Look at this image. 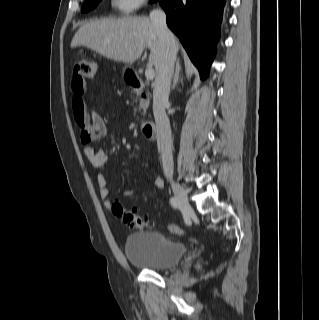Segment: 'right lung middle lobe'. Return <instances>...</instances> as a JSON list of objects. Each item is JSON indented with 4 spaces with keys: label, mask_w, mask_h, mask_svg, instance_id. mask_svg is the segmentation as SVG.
Here are the masks:
<instances>
[{
    "label": "right lung middle lobe",
    "mask_w": 319,
    "mask_h": 320,
    "mask_svg": "<svg viewBox=\"0 0 319 320\" xmlns=\"http://www.w3.org/2000/svg\"><path fill=\"white\" fill-rule=\"evenodd\" d=\"M100 1L101 0H86L81 8V11L88 12L94 9ZM151 1L153 2L154 0H151Z\"/></svg>",
    "instance_id": "right-lung-middle-lobe-1"
}]
</instances>
